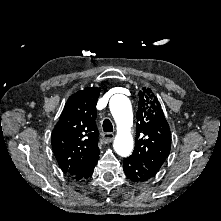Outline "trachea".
I'll list each match as a JSON object with an SVG mask.
<instances>
[{"label": "trachea", "instance_id": "obj_1", "mask_svg": "<svg viewBox=\"0 0 221 221\" xmlns=\"http://www.w3.org/2000/svg\"><path fill=\"white\" fill-rule=\"evenodd\" d=\"M103 130L105 132H112L113 131V125L109 119H105L103 121Z\"/></svg>", "mask_w": 221, "mask_h": 221}]
</instances>
